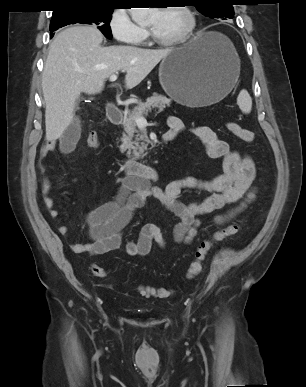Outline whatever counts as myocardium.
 <instances>
[{
	"label": "myocardium",
	"mask_w": 306,
	"mask_h": 387,
	"mask_svg": "<svg viewBox=\"0 0 306 387\" xmlns=\"http://www.w3.org/2000/svg\"><path fill=\"white\" fill-rule=\"evenodd\" d=\"M166 8H177V9H180L187 16L188 24H187L184 32L180 36H178L176 38H173V39H169V40H163V39L158 38L154 34V32L152 30H150L149 34H150L151 40L155 44H157V45L166 46V47L167 46H176V45H180V44H183V43L187 42L191 38V36L193 35V33H194L195 29H196V26H197V16H196V13L188 5L166 6L164 8H160V9H166Z\"/></svg>",
	"instance_id": "f54148a6"
}]
</instances>
